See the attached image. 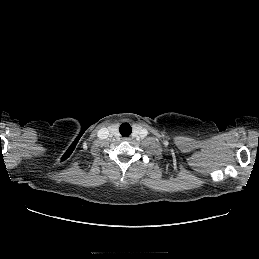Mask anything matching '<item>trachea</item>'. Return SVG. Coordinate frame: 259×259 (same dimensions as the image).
<instances>
[{
  "instance_id": "3493384b",
  "label": "trachea",
  "mask_w": 259,
  "mask_h": 259,
  "mask_svg": "<svg viewBox=\"0 0 259 259\" xmlns=\"http://www.w3.org/2000/svg\"><path fill=\"white\" fill-rule=\"evenodd\" d=\"M121 135L124 137V136H129L132 132V128L131 126L128 124V123H123L121 126H120V129H119Z\"/></svg>"
}]
</instances>
